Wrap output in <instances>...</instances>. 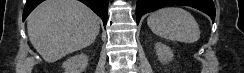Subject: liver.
<instances>
[{
	"label": "liver",
	"instance_id": "6515ba94",
	"mask_svg": "<svg viewBox=\"0 0 244 73\" xmlns=\"http://www.w3.org/2000/svg\"><path fill=\"white\" fill-rule=\"evenodd\" d=\"M30 42L46 62H55L94 42L99 17L77 0H46L27 18Z\"/></svg>",
	"mask_w": 244,
	"mask_h": 73
}]
</instances>
